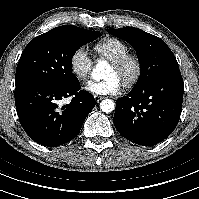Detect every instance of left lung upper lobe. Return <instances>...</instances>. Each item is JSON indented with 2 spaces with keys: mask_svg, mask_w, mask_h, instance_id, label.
<instances>
[{
  "mask_svg": "<svg viewBox=\"0 0 199 199\" xmlns=\"http://www.w3.org/2000/svg\"><path fill=\"white\" fill-rule=\"evenodd\" d=\"M112 35L129 42L140 61V76L133 89H138L155 78L179 70L176 58L160 38L134 27L109 29Z\"/></svg>",
  "mask_w": 199,
  "mask_h": 199,
  "instance_id": "5c2ea615",
  "label": "left lung upper lobe"
}]
</instances>
